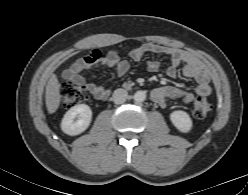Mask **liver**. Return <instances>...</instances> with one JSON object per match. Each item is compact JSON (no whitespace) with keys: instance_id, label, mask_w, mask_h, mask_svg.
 <instances>
[{"instance_id":"6515ba94","label":"liver","mask_w":248,"mask_h":195,"mask_svg":"<svg viewBox=\"0 0 248 195\" xmlns=\"http://www.w3.org/2000/svg\"><path fill=\"white\" fill-rule=\"evenodd\" d=\"M61 101L60 84L55 74H52L46 85L45 102L49 114H53L59 108Z\"/></svg>"}]
</instances>
